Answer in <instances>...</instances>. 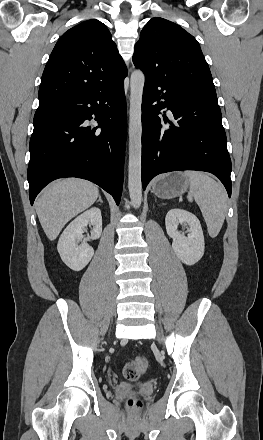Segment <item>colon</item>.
I'll list each match as a JSON object with an SVG mask.
<instances>
[{"label": "colon", "instance_id": "1", "mask_svg": "<svg viewBox=\"0 0 263 440\" xmlns=\"http://www.w3.org/2000/svg\"><path fill=\"white\" fill-rule=\"evenodd\" d=\"M150 365L151 359L149 357L136 356L124 365L123 376L129 381H136L149 369ZM125 405L130 412H137L142 408L143 403L138 398H129Z\"/></svg>", "mask_w": 263, "mask_h": 440}]
</instances>
